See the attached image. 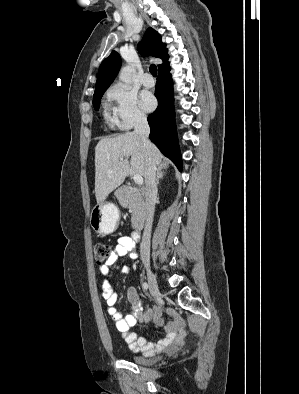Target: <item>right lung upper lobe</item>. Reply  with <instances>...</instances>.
Returning a JSON list of instances; mask_svg holds the SVG:
<instances>
[{
  "mask_svg": "<svg viewBox=\"0 0 299 394\" xmlns=\"http://www.w3.org/2000/svg\"><path fill=\"white\" fill-rule=\"evenodd\" d=\"M137 49L142 55H152L162 59L163 63L159 68L168 63V50L166 44L162 42L161 35L153 28H148ZM121 67V58L116 51H112L100 65L94 95L105 91L115 79Z\"/></svg>",
  "mask_w": 299,
  "mask_h": 394,
  "instance_id": "right-lung-upper-lobe-1",
  "label": "right lung upper lobe"
}]
</instances>
